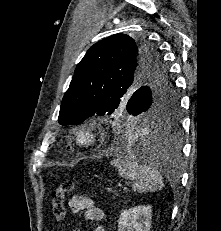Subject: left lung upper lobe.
<instances>
[{"label": "left lung upper lobe", "mask_w": 221, "mask_h": 231, "mask_svg": "<svg viewBox=\"0 0 221 231\" xmlns=\"http://www.w3.org/2000/svg\"><path fill=\"white\" fill-rule=\"evenodd\" d=\"M135 103V104H134ZM145 113L159 124L178 121V97L160 50L146 39L109 36L87 51L63 97L59 124L76 125L94 115Z\"/></svg>", "instance_id": "1"}]
</instances>
